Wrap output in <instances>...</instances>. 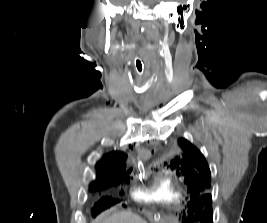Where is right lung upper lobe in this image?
<instances>
[{"mask_svg": "<svg viewBox=\"0 0 267 223\" xmlns=\"http://www.w3.org/2000/svg\"><path fill=\"white\" fill-rule=\"evenodd\" d=\"M122 152H113L105 155L103 159L97 163L98 179L93 184H100V180L110 176L127 177L128 172H125L126 163L123 160Z\"/></svg>", "mask_w": 267, "mask_h": 223, "instance_id": "right-lung-upper-lobe-1", "label": "right lung upper lobe"}]
</instances>
